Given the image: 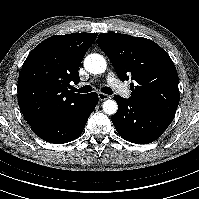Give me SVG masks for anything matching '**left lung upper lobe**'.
I'll list each match as a JSON object with an SVG mask.
<instances>
[{"instance_id":"left-lung-upper-lobe-1","label":"left lung upper lobe","mask_w":199,"mask_h":199,"mask_svg":"<svg viewBox=\"0 0 199 199\" xmlns=\"http://www.w3.org/2000/svg\"><path fill=\"white\" fill-rule=\"evenodd\" d=\"M98 45L120 78H131L130 99L174 116L179 104L178 74L169 55L155 42L120 33H101Z\"/></svg>"}]
</instances>
